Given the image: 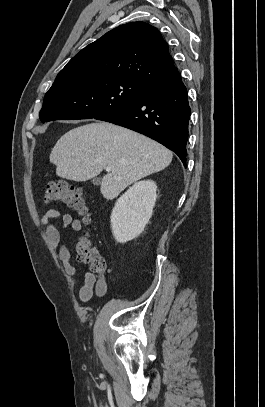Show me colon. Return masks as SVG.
Here are the masks:
<instances>
[{"mask_svg":"<svg viewBox=\"0 0 265 407\" xmlns=\"http://www.w3.org/2000/svg\"><path fill=\"white\" fill-rule=\"evenodd\" d=\"M44 201L63 202L73 207L81 214H88L87 197L82 189L71 186L65 182H49L44 187ZM78 258L89 263L94 269H105L104 258L86 240H82L77 245Z\"/></svg>","mask_w":265,"mask_h":407,"instance_id":"colon-1","label":"colon"}]
</instances>
